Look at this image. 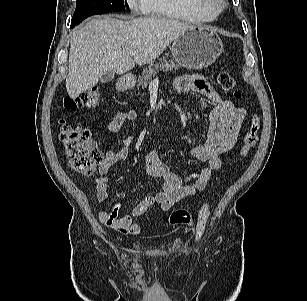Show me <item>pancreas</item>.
<instances>
[{
	"label": "pancreas",
	"instance_id": "obj_1",
	"mask_svg": "<svg viewBox=\"0 0 307 301\" xmlns=\"http://www.w3.org/2000/svg\"><path fill=\"white\" fill-rule=\"evenodd\" d=\"M180 66L175 64L173 60H166L165 57H161L157 62H151L149 66L143 70L142 76L138 78V86L146 88L149 82L152 80L159 71L177 70Z\"/></svg>",
	"mask_w": 307,
	"mask_h": 301
}]
</instances>
